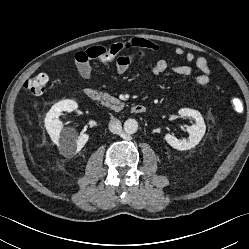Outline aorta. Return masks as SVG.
Wrapping results in <instances>:
<instances>
[{"mask_svg":"<svg viewBox=\"0 0 249 249\" xmlns=\"http://www.w3.org/2000/svg\"><path fill=\"white\" fill-rule=\"evenodd\" d=\"M138 130V122L135 119H128L124 123V131L127 134H134Z\"/></svg>","mask_w":249,"mask_h":249,"instance_id":"762f6f07","label":"aorta"}]
</instances>
